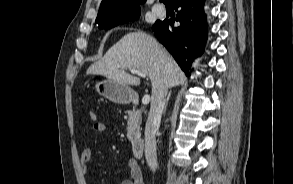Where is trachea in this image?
<instances>
[{
    "label": "trachea",
    "mask_w": 293,
    "mask_h": 184,
    "mask_svg": "<svg viewBox=\"0 0 293 184\" xmlns=\"http://www.w3.org/2000/svg\"><path fill=\"white\" fill-rule=\"evenodd\" d=\"M160 2H163L164 4H169V0H160Z\"/></svg>",
    "instance_id": "3493384b"
}]
</instances>
